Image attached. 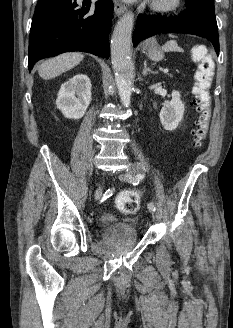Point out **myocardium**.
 Here are the masks:
<instances>
[{
  "label": "myocardium",
  "mask_w": 233,
  "mask_h": 328,
  "mask_svg": "<svg viewBox=\"0 0 233 328\" xmlns=\"http://www.w3.org/2000/svg\"><path fill=\"white\" fill-rule=\"evenodd\" d=\"M182 0H153L152 8L158 12H173L180 8Z\"/></svg>",
  "instance_id": "f54148a6"
}]
</instances>
